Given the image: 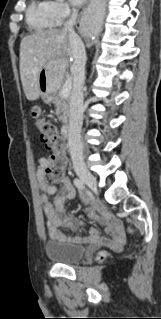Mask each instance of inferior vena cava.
<instances>
[{
	"label": "inferior vena cava",
	"mask_w": 161,
	"mask_h": 319,
	"mask_svg": "<svg viewBox=\"0 0 161 319\" xmlns=\"http://www.w3.org/2000/svg\"><path fill=\"white\" fill-rule=\"evenodd\" d=\"M77 18V10L73 8L70 19L64 24L63 31L68 32L72 49L73 63L71 73L73 75V89L70 97L68 146L75 170L85 169L83 159L81 128L83 123V85L85 80L86 51L80 37L74 31Z\"/></svg>",
	"instance_id": "602c4592"
}]
</instances>
